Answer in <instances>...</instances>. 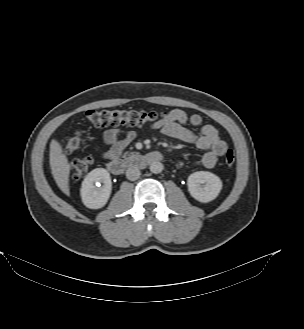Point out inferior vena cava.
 <instances>
[{"label":"inferior vena cava","instance_id":"1","mask_svg":"<svg viewBox=\"0 0 304 329\" xmlns=\"http://www.w3.org/2000/svg\"><path fill=\"white\" fill-rule=\"evenodd\" d=\"M141 173L140 170L137 167H129L126 171V177L131 180L135 181L140 177Z\"/></svg>","mask_w":304,"mask_h":329}]
</instances>
